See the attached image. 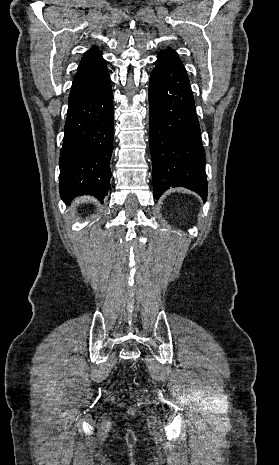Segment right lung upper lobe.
Here are the masks:
<instances>
[{"mask_svg": "<svg viewBox=\"0 0 279 465\" xmlns=\"http://www.w3.org/2000/svg\"><path fill=\"white\" fill-rule=\"evenodd\" d=\"M101 55L102 52H99L97 47L85 52L73 80L69 103L87 93L108 75L105 60Z\"/></svg>", "mask_w": 279, "mask_h": 465, "instance_id": "right-lung-upper-lobe-1", "label": "right lung upper lobe"}]
</instances>
